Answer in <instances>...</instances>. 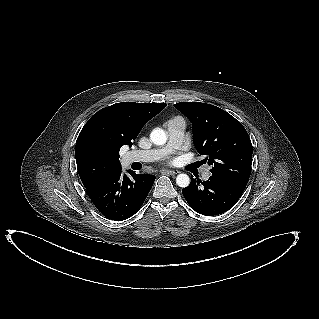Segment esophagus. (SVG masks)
I'll list each match as a JSON object with an SVG mask.
<instances>
[{
	"label": "esophagus",
	"mask_w": 319,
	"mask_h": 319,
	"mask_svg": "<svg viewBox=\"0 0 319 319\" xmlns=\"http://www.w3.org/2000/svg\"><path fill=\"white\" fill-rule=\"evenodd\" d=\"M163 173L168 174V175H176L179 172L177 170H163Z\"/></svg>",
	"instance_id": "34e87169"
}]
</instances>
